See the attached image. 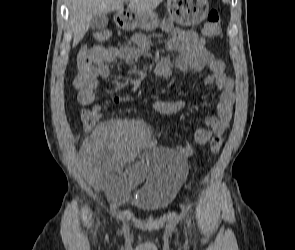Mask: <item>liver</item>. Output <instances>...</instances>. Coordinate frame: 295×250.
<instances>
[{
    "instance_id": "liver-1",
    "label": "liver",
    "mask_w": 295,
    "mask_h": 250,
    "mask_svg": "<svg viewBox=\"0 0 295 250\" xmlns=\"http://www.w3.org/2000/svg\"><path fill=\"white\" fill-rule=\"evenodd\" d=\"M124 2L128 10L136 12L153 11L163 0H68L70 28L73 46L87 33L93 16L113 11H123Z\"/></svg>"
}]
</instances>
